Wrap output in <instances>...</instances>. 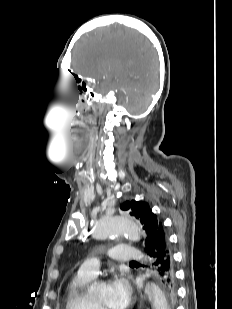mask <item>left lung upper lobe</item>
Returning <instances> with one entry per match:
<instances>
[{"label":"left lung upper lobe","instance_id":"obj_1","mask_svg":"<svg viewBox=\"0 0 232 309\" xmlns=\"http://www.w3.org/2000/svg\"><path fill=\"white\" fill-rule=\"evenodd\" d=\"M122 210H127L129 214L140 221L145 231L146 238L144 240L145 249L148 248L156 239L159 227H162L161 220L154 214L149 205L141 201H126L121 205ZM166 293V292H165ZM167 301L173 306L176 301V293L170 296L166 293Z\"/></svg>","mask_w":232,"mask_h":309}]
</instances>
